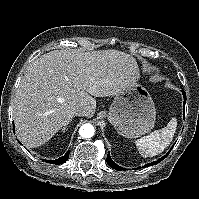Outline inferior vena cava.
I'll list each match as a JSON object with an SVG mask.
<instances>
[{
	"label": "inferior vena cava",
	"mask_w": 199,
	"mask_h": 199,
	"mask_svg": "<svg viewBox=\"0 0 199 199\" xmlns=\"http://www.w3.org/2000/svg\"><path fill=\"white\" fill-rule=\"evenodd\" d=\"M74 113L77 116H85L86 111H85V108L78 106V107L75 108Z\"/></svg>",
	"instance_id": "1"
}]
</instances>
